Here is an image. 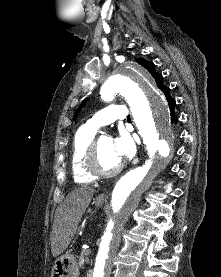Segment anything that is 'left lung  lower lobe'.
<instances>
[{
    "label": "left lung lower lobe",
    "mask_w": 221,
    "mask_h": 277,
    "mask_svg": "<svg viewBox=\"0 0 221 277\" xmlns=\"http://www.w3.org/2000/svg\"><path fill=\"white\" fill-rule=\"evenodd\" d=\"M163 93L166 96V99L168 101V104L171 110L172 122L176 124L177 117L174 114V108H175L176 102L170 96V88L169 87L164 88Z\"/></svg>",
    "instance_id": "0a47b994"
}]
</instances>
